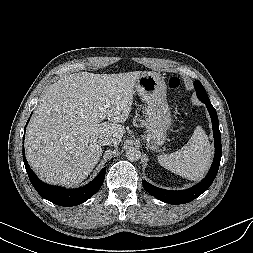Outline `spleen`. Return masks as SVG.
Returning <instances> with one entry per match:
<instances>
[{"instance_id":"3e777b00","label":"spleen","mask_w":253,"mask_h":253,"mask_svg":"<svg viewBox=\"0 0 253 253\" xmlns=\"http://www.w3.org/2000/svg\"><path fill=\"white\" fill-rule=\"evenodd\" d=\"M161 166L189 180L203 177L211 164V146L201 126L181 149L158 156Z\"/></svg>"}]
</instances>
